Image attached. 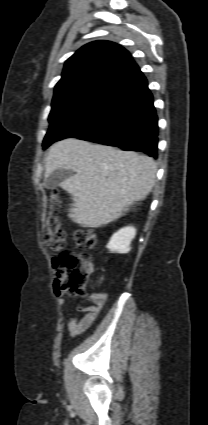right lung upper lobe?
<instances>
[{"label": "right lung upper lobe", "instance_id": "obj_1", "mask_svg": "<svg viewBox=\"0 0 208 425\" xmlns=\"http://www.w3.org/2000/svg\"><path fill=\"white\" fill-rule=\"evenodd\" d=\"M135 64L130 53L119 44L90 42L65 62L53 101L82 90H104Z\"/></svg>", "mask_w": 208, "mask_h": 425}]
</instances>
